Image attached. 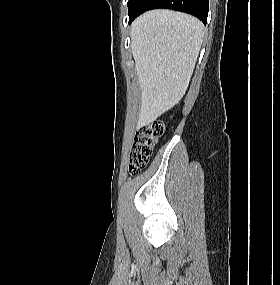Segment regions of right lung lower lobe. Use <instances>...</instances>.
Returning a JSON list of instances; mask_svg holds the SVG:
<instances>
[{"label":"right lung lower lobe","instance_id":"right-lung-lower-lobe-1","mask_svg":"<svg viewBox=\"0 0 280 285\" xmlns=\"http://www.w3.org/2000/svg\"><path fill=\"white\" fill-rule=\"evenodd\" d=\"M155 8H167L186 12L194 15L206 24L209 0H141L135 11L129 15V23L145 11Z\"/></svg>","mask_w":280,"mask_h":285}]
</instances>
